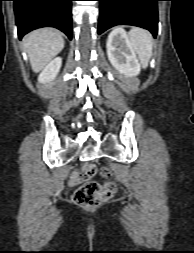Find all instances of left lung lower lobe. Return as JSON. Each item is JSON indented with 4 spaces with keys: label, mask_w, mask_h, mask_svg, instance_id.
<instances>
[{
    "label": "left lung lower lobe",
    "mask_w": 194,
    "mask_h": 253,
    "mask_svg": "<svg viewBox=\"0 0 194 253\" xmlns=\"http://www.w3.org/2000/svg\"><path fill=\"white\" fill-rule=\"evenodd\" d=\"M100 17L98 34L115 25H133L158 32L157 2L161 0H98Z\"/></svg>",
    "instance_id": "0a47b994"
}]
</instances>
